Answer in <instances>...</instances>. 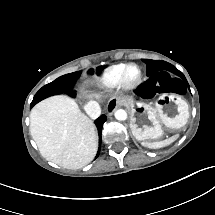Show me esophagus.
<instances>
[{
    "label": "esophagus",
    "mask_w": 215,
    "mask_h": 215,
    "mask_svg": "<svg viewBox=\"0 0 215 215\" xmlns=\"http://www.w3.org/2000/svg\"><path fill=\"white\" fill-rule=\"evenodd\" d=\"M121 105V100L118 99V98H112L109 102H108V105H107V113L109 115H111L115 109Z\"/></svg>",
    "instance_id": "obj_1"
}]
</instances>
